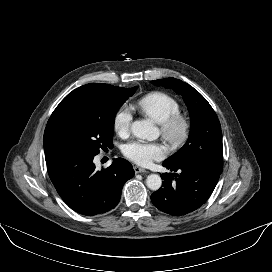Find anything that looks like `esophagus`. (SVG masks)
<instances>
[{"label": "esophagus", "mask_w": 272, "mask_h": 272, "mask_svg": "<svg viewBox=\"0 0 272 272\" xmlns=\"http://www.w3.org/2000/svg\"><path fill=\"white\" fill-rule=\"evenodd\" d=\"M134 171H135L136 174H138V173H146L147 172V170H145L144 168H141L139 166H134Z\"/></svg>", "instance_id": "34e87169"}]
</instances>
